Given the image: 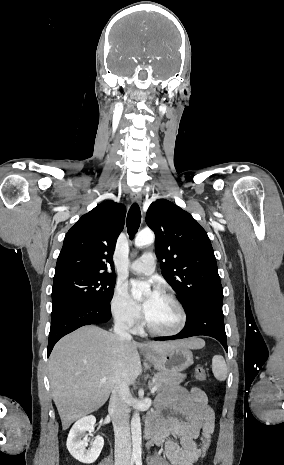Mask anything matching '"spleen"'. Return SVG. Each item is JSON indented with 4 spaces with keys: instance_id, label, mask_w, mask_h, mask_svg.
I'll return each mask as SVG.
<instances>
[{
    "instance_id": "obj_1",
    "label": "spleen",
    "mask_w": 284,
    "mask_h": 465,
    "mask_svg": "<svg viewBox=\"0 0 284 465\" xmlns=\"http://www.w3.org/2000/svg\"><path fill=\"white\" fill-rule=\"evenodd\" d=\"M212 373L217 381H225L227 377V365L221 355H215L212 359Z\"/></svg>"
}]
</instances>
